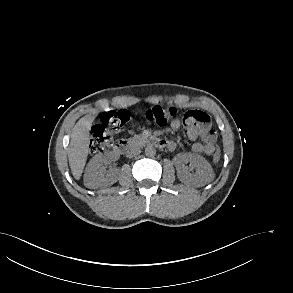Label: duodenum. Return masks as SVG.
Returning a JSON list of instances; mask_svg holds the SVG:
<instances>
[{
    "label": "duodenum",
    "instance_id": "obj_1",
    "mask_svg": "<svg viewBox=\"0 0 293 293\" xmlns=\"http://www.w3.org/2000/svg\"><path fill=\"white\" fill-rule=\"evenodd\" d=\"M154 146L157 148H163L167 146V143L165 140H157L154 142ZM133 150L134 148L132 144L126 139H119L114 145V151L119 154L129 155L132 154Z\"/></svg>",
    "mask_w": 293,
    "mask_h": 293
}]
</instances>
